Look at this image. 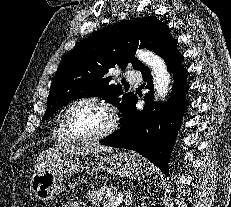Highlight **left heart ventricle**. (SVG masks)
I'll use <instances>...</instances> for the list:
<instances>
[{
	"label": "left heart ventricle",
	"mask_w": 231,
	"mask_h": 207,
	"mask_svg": "<svg viewBox=\"0 0 231 207\" xmlns=\"http://www.w3.org/2000/svg\"><path fill=\"white\" fill-rule=\"evenodd\" d=\"M72 130L79 136H92L103 131L109 124L107 112L97 104L81 103L69 114Z\"/></svg>",
	"instance_id": "1"
}]
</instances>
